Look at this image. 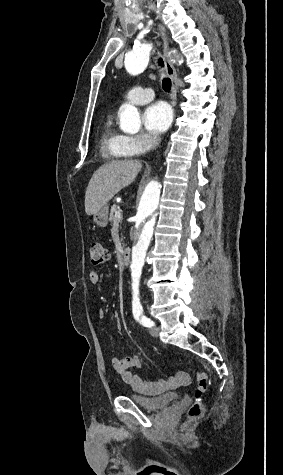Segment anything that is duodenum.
<instances>
[{
  "label": "duodenum",
  "mask_w": 283,
  "mask_h": 475,
  "mask_svg": "<svg viewBox=\"0 0 283 475\" xmlns=\"http://www.w3.org/2000/svg\"><path fill=\"white\" fill-rule=\"evenodd\" d=\"M131 259V249L130 248H125L123 253H122V261L125 264H128Z\"/></svg>",
  "instance_id": "1"
}]
</instances>
